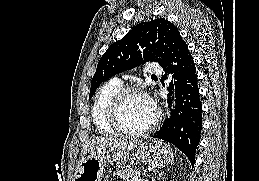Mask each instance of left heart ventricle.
Wrapping results in <instances>:
<instances>
[{
	"label": "left heart ventricle",
	"mask_w": 259,
	"mask_h": 181,
	"mask_svg": "<svg viewBox=\"0 0 259 181\" xmlns=\"http://www.w3.org/2000/svg\"><path fill=\"white\" fill-rule=\"evenodd\" d=\"M155 116V109L148 99L142 96L129 97L122 109L121 121L129 130H140L148 126Z\"/></svg>",
	"instance_id": "left-heart-ventricle-1"
}]
</instances>
